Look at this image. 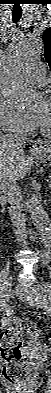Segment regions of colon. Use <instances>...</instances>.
<instances>
[{
    "label": "colon",
    "instance_id": "obj_1",
    "mask_svg": "<svg viewBox=\"0 0 51 393\" xmlns=\"http://www.w3.org/2000/svg\"><path fill=\"white\" fill-rule=\"evenodd\" d=\"M12 323L13 326L1 333V354L4 361L3 374L8 382L20 386L29 378L21 352L23 336L30 334L37 339L40 337V333L28 319L14 317Z\"/></svg>",
    "mask_w": 51,
    "mask_h": 393
}]
</instances>
